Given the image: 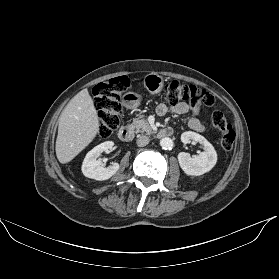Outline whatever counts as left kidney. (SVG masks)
<instances>
[{
  "instance_id": "5707ae66",
  "label": "left kidney",
  "mask_w": 279,
  "mask_h": 279,
  "mask_svg": "<svg viewBox=\"0 0 279 279\" xmlns=\"http://www.w3.org/2000/svg\"><path fill=\"white\" fill-rule=\"evenodd\" d=\"M181 141L188 144L191 141L199 142L204 146V152L199 155L190 156L188 153L180 152L178 154V161L181 169L191 176H200L209 172L217 162V153L210 142L202 135L186 131L181 135Z\"/></svg>"
}]
</instances>
